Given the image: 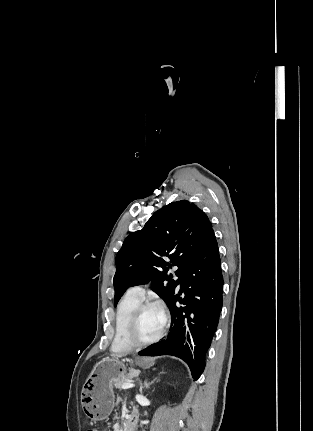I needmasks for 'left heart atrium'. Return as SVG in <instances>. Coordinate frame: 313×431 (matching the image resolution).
<instances>
[{"label": "left heart atrium", "instance_id": "left-heart-atrium-1", "mask_svg": "<svg viewBox=\"0 0 313 431\" xmlns=\"http://www.w3.org/2000/svg\"><path fill=\"white\" fill-rule=\"evenodd\" d=\"M156 308L159 310V312L161 313V315L163 317V320H164V311H163V308L159 304L156 305Z\"/></svg>", "mask_w": 313, "mask_h": 431}]
</instances>
